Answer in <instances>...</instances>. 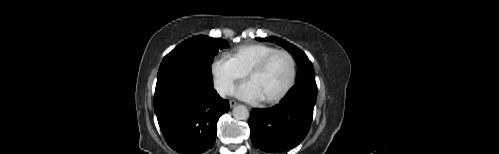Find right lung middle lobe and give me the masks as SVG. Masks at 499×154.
<instances>
[{
  "label": "right lung middle lobe",
  "mask_w": 499,
  "mask_h": 154,
  "mask_svg": "<svg viewBox=\"0 0 499 154\" xmlns=\"http://www.w3.org/2000/svg\"><path fill=\"white\" fill-rule=\"evenodd\" d=\"M229 43L222 39L195 36L167 54L158 71L157 84L180 78H202L212 83L211 66L218 49L226 48Z\"/></svg>",
  "instance_id": "1"
}]
</instances>
